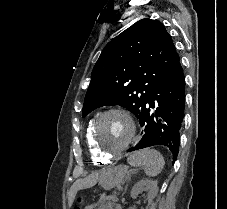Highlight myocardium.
I'll return each mask as SVG.
<instances>
[{
  "label": "myocardium",
  "mask_w": 227,
  "mask_h": 209,
  "mask_svg": "<svg viewBox=\"0 0 227 209\" xmlns=\"http://www.w3.org/2000/svg\"><path fill=\"white\" fill-rule=\"evenodd\" d=\"M113 113L121 114L128 120V122L130 123V126H131V135H130L129 139L127 140V142L125 144H123L121 147L114 149L112 151H108L105 148H103L99 142L98 130H99L102 120L109 114H113ZM136 135H137V128H136V124H135L133 118L131 117V115L127 111H125L121 108H116V107L109 108V109L101 112L95 118V121H94V124L92 127V142H93L97 152L101 156L107 157V158H113V157H116L119 154H121L130 145L131 141L136 137Z\"/></svg>",
  "instance_id": "f54148a6"
}]
</instances>
